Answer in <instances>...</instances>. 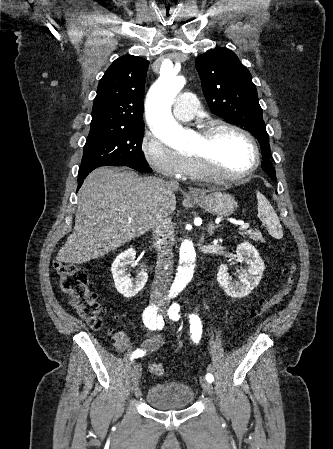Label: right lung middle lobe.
Wrapping results in <instances>:
<instances>
[{
	"mask_svg": "<svg viewBox=\"0 0 333 449\" xmlns=\"http://www.w3.org/2000/svg\"><path fill=\"white\" fill-rule=\"evenodd\" d=\"M142 138L143 125L90 129L81 166L123 164L147 167L141 147Z\"/></svg>",
	"mask_w": 333,
	"mask_h": 449,
	"instance_id": "dd1d6c3e",
	"label": "right lung middle lobe"
}]
</instances>
